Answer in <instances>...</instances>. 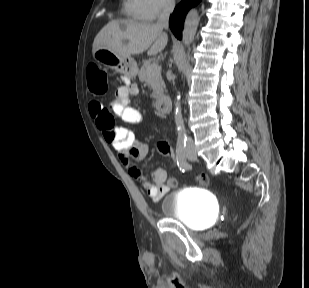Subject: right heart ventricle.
<instances>
[{"label": "right heart ventricle", "instance_id": "e07e8e85", "mask_svg": "<svg viewBox=\"0 0 309 288\" xmlns=\"http://www.w3.org/2000/svg\"><path fill=\"white\" fill-rule=\"evenodd\" d=\"M124 13L136 20H148L147 10L143 5L142 0H124L123 2Z\"/></svg>", "mask_w": 309, "mask_h": 288}]
</instances>
